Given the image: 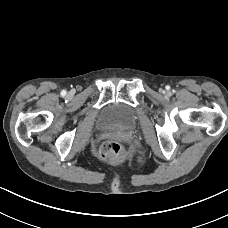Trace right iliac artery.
Returning <instances> with one entry per match:
<instances>
[{
	"instance_id": "82829eb1",
	"label": "right iliac artery",
	"mask_w": 228,
	"mask_h": 228,
	"mask_svg": "<svg viewBox=\"0 0 228 228\" xmlns=\"http://www.w3.org/2000/svg\"><path fill=\"white\" fill-rule=\"evenodd\" d=\"M61 95H62V96H65V95H66V91L63 90V91L61 92Z\"/></svg>"
}]
</instances>
